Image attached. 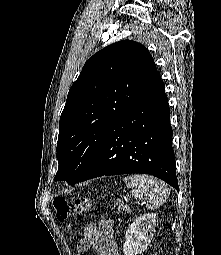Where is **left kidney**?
Wrapping results in <instances>:
<instances>
[{
  "label": "left kidney",
  "instance_id": "left-kidney-1",
  "mask_svg": "<svg viewBox=\"0 0 221 255\" xmlns=\"http://www.w3.org/2000/svg\"><path fill=\"white\" fill-rule=\"evenodd\" d=\"M156 216L148 213L133 221L125 234L124 255H138L147 249L155 232Z\"/></svg>",
  "mask_w": 221,
  "mask_h": 255
}]
</instances>
